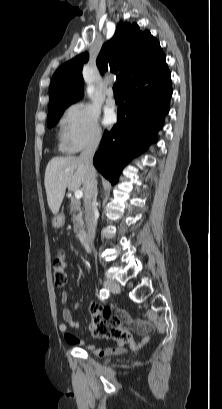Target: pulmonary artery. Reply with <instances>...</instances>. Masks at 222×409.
<instances>
[{"mask_svg":"<svg viewBox=\"0 0 222 409\" xmlns=\"http://www.w3.org/2000/svg\"><path fill=\"white\" fill-rule=\"evenodd\" d=\"M106 104L108 106H114L115 105V99L113 97V91H112L111 87H109L108 90H107Z\"/></svg>","mask_w":222,"mask_h":409,"instance_id":"obj_1","label":"pulmonary artery"}]
</instances>
